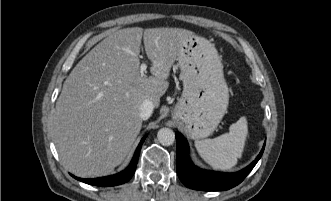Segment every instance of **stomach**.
<instances>
[{"label": "stomach", "mask_w": 331, "mask_h": 201, "mask_svg": "<svg viewBox=\"0 0 331 201\" xmlns=\"http://www.w3.org/2000/svg\"><path fill=\"white\" fill-rule=\"evenodd\" d=\"M177 60L184 88L173 118L185 125L192 139L206 138L219 125L229 103L221 59L210 41L193 35Z\"/></svg>", "instance_id": "stomach-1"}]
</instances>
